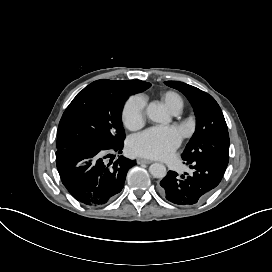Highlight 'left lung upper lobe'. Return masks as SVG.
I'll list each match as a JSON object with an SVG mask.
<instances>
[{
    "mask_svg": "<svg viewBox=\"0 0 272 272\" xmlns=\"http://www.w3.org/2000/svg\"><path fill=\"white\" fill-rule=\"evenodd\" d=\"M166 85L182 92L190 101L197 117L196 131L186 146L182 158L186 162L212 161L227 167L229 134L222 111L208 93L178 81Z\"/></svg>",
    "mask_w": 272,
    "mask_h": 272,
    "instance_id": "left-lung-upper-lobe-1",
    "label": "left lung upper lobe"
}]
</instances>
